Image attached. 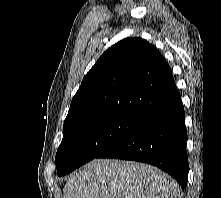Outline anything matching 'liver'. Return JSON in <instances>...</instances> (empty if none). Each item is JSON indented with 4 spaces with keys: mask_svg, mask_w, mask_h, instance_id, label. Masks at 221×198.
<instances>
[{
    "mask_svg": "<svg viewBox=\"0 0 221 198\" xmlns=\"http://www.w3.org/2000/svg\"><path fill=\"white\" fill-rule=\"evenodd\" d=\"M63 198H180V186L147 164L94 159L70 176Z\"/></svg>",
    "mask_w": 221,
    "mask_h": 198,
    "instance_id": "1",
    "label": "liver"
}]
</instances>
